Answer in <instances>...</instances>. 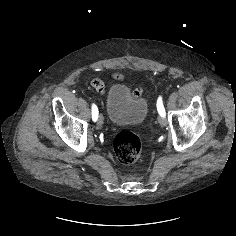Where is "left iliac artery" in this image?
<instances>
[{
	"label": "left iliac artery",
	"mask_w": 236,
	"mask_h": 236,
	"mask_svg": "<svg viewBox=\"0 0 236 236\" xmlns=\"http://www.w3.org/2000/svg\"><path fill=\"white\" fill-rule=\"evenodd\" d=\"M157 110H158V113L160 114V116H162V117L166 116V112H165L161 97H159L157 100Z\"/></svg>",
	"instance_id": "44dca946"
}]
</instances>
